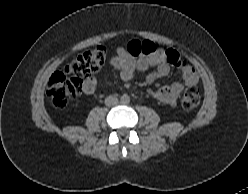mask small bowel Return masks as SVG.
I'll use <instances>...</instances> for the list:
<instances>
[{"instance_id": "small-bowel-1", "label": "small bowel", "mask_w": 248, "mask_h": 194, "mask_svg": "<svg viewBox=\"0 0 248 194\" xmlns=\"http://www.w3.org/2000/svg\"><path fill=\"white\" fill-rule=\"evenodd\" d=\"M115 55L112 56L108 64L119 70L120 76L124 80H131L136 77L137 72H145L152 65L156 68L149 71L144 81L152 84L156 80L166 77L170 72V64L165 59V51L158 50L154 54L133 56L127 48L117 47ZM178 67L182 71V80L173 83L170 86H164L157 90L150 91L151 96L159 103L174 106L177 98L185 87L195 86L198 83V76L192 66L181 58ZM97 89V80L89 77L84 80L82 91L87 94H93Z\"/></svg>"}]
</instances>
